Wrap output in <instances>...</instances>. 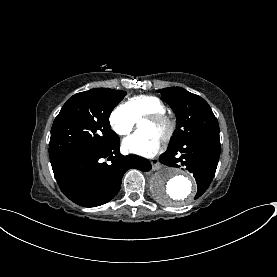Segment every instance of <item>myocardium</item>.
Wrapping results in <instances>:
<instances>
[{
	"label": "myocardium",
	"instance_id": "obj_1",
	"mask_svg": "<svg viewBox=\"0 0 277 277\" xmlns=\"http://www.w3.org/2000/svg\"><path fill=\"white\" fill-rule=\"evenodd\" d=\"M145 118L150 119L151 121L162 123L165 126L164 134L159 137L163 142L169 141L173 136L176 124L175 121L167 115L165 112H149L145 115Z\"/></svg>",
	"mask_w": 277,
	"mask_h": 277
}]
</instances>
